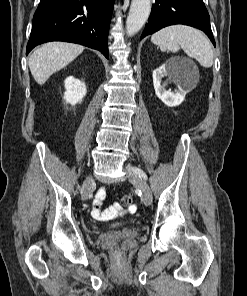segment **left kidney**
Here are the masks:
<instances>
[{
	"label": "left kidney",
	"mask_w": 247,
	"mask_h": 296,
	"mask_svg": "<svg viewBox=\"0 0 247 296\" xmlns=\"http://www.w3.org/2000/svg\"><path fill=\"white\" fill-rule=\"evenodd\" d=\"M168 76L177 84V91L165 89L162 78ZM197 84L196 73L189 68L182 59H169L166 63L153 71V85L157 97L167 106L180 105L186 94Z\"/></svg>",
	"instance_id": "obj_1"
}]
</instances>
